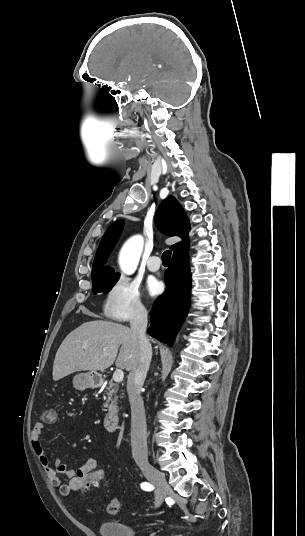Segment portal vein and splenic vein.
I'll list each match as a JSON object with an SVG mask.
<instances>
[{
    "label": "portal vein and splenic vein",
    "mask_w": 305,
    "mask_h": 536,
    "mask_svg": "<svg viewBox=\"0 0 305 536\" xmlns=\"http://www.w3.org/2000/svg\"><path fill=\"white\" fill-rule=\"evenodd\" d=\"M85 350H87L88 346H84ZM103 352H106V348H103ZM124 378V374L122 370H116L113 374V380L114 382H122Z\"/></svg>",
    "instance_id": "portal-vein-and-splenic-vein-1"
}]
</instances>
